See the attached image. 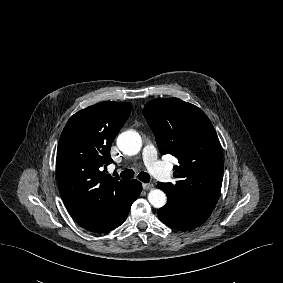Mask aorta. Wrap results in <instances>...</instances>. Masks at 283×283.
Returning a JSON list of instances; mask_svg holds the SVG:
<instances>
[{
	"instance_id": "obj_1",
	"label": "aorta",
	"mask_w": 283,
	"mask_h": 283,
	"mask_svg": "<svg viewBox=\"0 0 283 283\" xmlns=\"http://www.w3.org/2000/svg\"><path fill=\"white\" fill-rule=\"evenodd\" d=\"M118 148L127 155H136L141 147L142 140L135 131H125L117 138ZM148 201L155 208H161L166 204V194L160 189L151 190L148 194Z\"/></svg>"
}]
</instances>
